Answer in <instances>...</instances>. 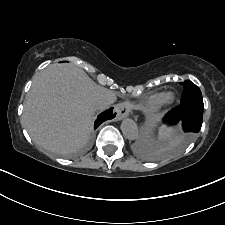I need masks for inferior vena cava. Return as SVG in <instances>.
I'll return each mask as SVG.
<instances>
[{"mask_svg": "<svg viewBox=\"0 0 225 225\" xmlns=\"http://www.w3.org/2000/svg\"><path fill=\"white\" fill-rule=\"evenodd\" d=\"M111 105V103L109 101H101L98 103V109L99 110H104L106 108H108Z\"/></svg>", "mask_w": 225, "mask_h": 225, "instance_id": "1", "label": "inferior vena cava"}]
</instances>
